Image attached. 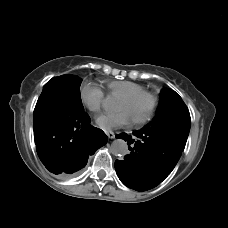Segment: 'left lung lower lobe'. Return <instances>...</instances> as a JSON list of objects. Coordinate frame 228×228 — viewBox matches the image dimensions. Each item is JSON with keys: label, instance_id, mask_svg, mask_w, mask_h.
Returning a JSON list of instances; mask_svg holds the SVG:
<instances>
[{"label": "left lung lower lobe", "instance_id": "left-lung-lower-lobe-1", "mask_svg": "<svg viewBox=\"0 0 228 228\" xmlns=\"http://www.w3.org/2000/svg\"><path fill=\"white\" fill-rule=\"evenodd\" d=\"M190 129V128H189ZM117 135L128 141L131 154L115 161L120 180L132 188H148L159 184L174 168L183 151L188 134L169 130L142 128Z\"/></svg>", "mask_w": 228, "mask_h": 228}]
</instances>
